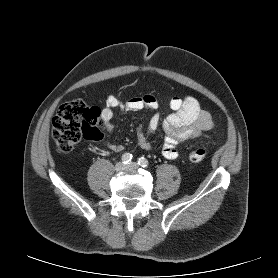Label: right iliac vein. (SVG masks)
I'll use <instances>...</instances> for the list:
<instances>
[{"mask_svg": "<svg viewBox=\"0 0 278 278\" xmlns=\"http://www.w3.org/2000/svg\"><path fill=\"white\" fill-rule=\"evenodd\" d=\"M125 169H127V166L123 162L116 163L115 165L116 171H124Z\"/></svg>", "mask_w": 278, "mask_h": 278, "instance_id": "obj_1", "label": "right iliac vein"}]
</instances>
